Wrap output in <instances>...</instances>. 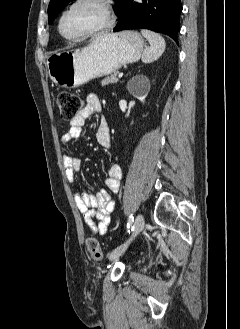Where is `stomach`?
<instances>
[{"label":"stomach","instance_id":"1","mask_svg":"<svg viewBox=\"0 0 240 329\" xmlns=\"http://www.w3.org/2000/svg\"><path fill=\"white\" fill-rule=\"evenodd\" d=\"M144 46L143 37L135 31L98 34L84 48L51 54L49 76L61 87L76 88L138 61Z\"/></svg>","mask_w":240,"mask_h":329}]
</instances>
